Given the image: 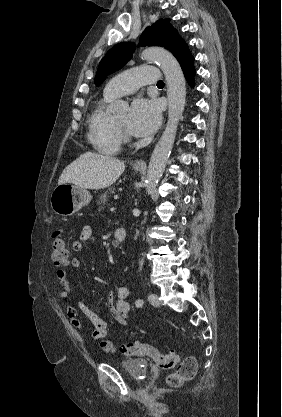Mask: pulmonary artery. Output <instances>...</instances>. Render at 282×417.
I'll return each instance as SVG.
<instances>
[{"label": "pulmonary artery", "instance_id": "1", "mask_svg": "<svg viewBox=\"0 0 282 417\" xmlns=\"http://www.w3.org/2000/svg\"><path fill=\"white\" fill-rule=\"evenodd\" d=\"M158 65H141L139 69L127 70L112 78L104 89V96L115 98L134 93L141 85L160 82Z\"/></svg>", "mask_w": 282, "mask_h": 417}]
</instances>
